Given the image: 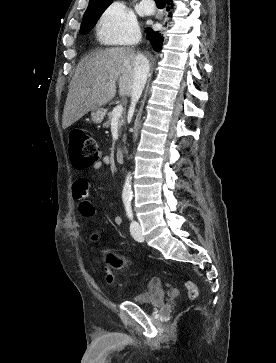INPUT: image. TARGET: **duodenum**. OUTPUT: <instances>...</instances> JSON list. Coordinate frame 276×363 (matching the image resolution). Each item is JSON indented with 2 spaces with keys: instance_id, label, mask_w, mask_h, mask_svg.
<instances>
[{
  "instance_id": "410a0bca",
  "label": "duodenum",
  "mask_w": 276,
  "mask_h": 363,
  "mask_svg": "<svg viewBox=\"0 0 276 363\" xmlns=\"http://www.w3.org/2000/svg\"><path fill=\"white\" fill-rule=\"evenodd\" d=\"M125 158V153L123 150L119 149L116 151V160L119 163H122L124 161Z\"/></svg>"
}]
</instances>
